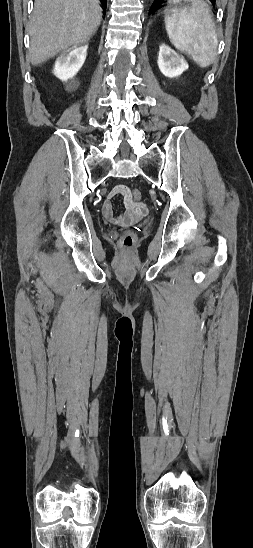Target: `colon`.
<instances>
[{
  "label": "colon",
  "mask_w": 253,
  "mask_h": 548,
  "mask_svg": "<svg viewBox=\"0 0 253 548\" xmlns=\"http://www.w3.org/2000/svg\"><path fill=\"white\" fill-rule=\"evenodd\" d=\"M131 197L135 202H139L142 198L141 191L139 189H133L131 192ZM135 237L132 234H125L120 239V247L125 251H131L135 245Z\"/></svg>",
  "instance_id": "5ec220e1"
}]
</instances>
